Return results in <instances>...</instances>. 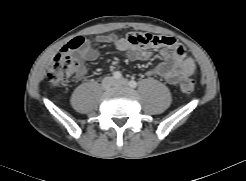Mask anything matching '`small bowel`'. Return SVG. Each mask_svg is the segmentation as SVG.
I'll list each match as a JSON object with an SVG mask.
<instances>
[{"mask_svg": "<svg viewBox=\"0 0 246 181\" xmlns=\"http://www.w3.org/2000/svg\"><path fill=\"white\" fill-rule=\"evenodd\" d=\"M143 34L128 33L124 37L115 35H102L95 40L87 41L78 50L77 55L82 61H94L98 58V44L114 43L117 49L131 59L147 60L152 56L149 47L159 50L163 62L149 70L150 77H160L169 84H177L181 80L190 77L195 70V63L187 57L184 46L170 36H159L158 43L143 44L140 42ZM86 67L81 63L78 75L83 76Z\"/></svg>", "mask_w": 246, "mask_h": 181, "instance_id": "obj_1", "label": "small bowel"}]
</instances>
